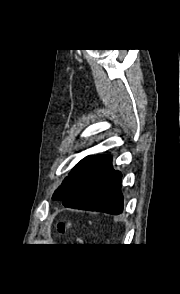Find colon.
<instances>
[{
  "mask_svg": "<svg viewBox=\"0 0 180 294\" xmlns=\"http://www.w3.org/2000/svg\"><path fill=\"white\" fill-rule=\"evenodd\" d=\"M72 224L70 222H61L58 225L59 231L63 232L65 229L70 228Z\"/></svg>",
  "mask_w": 180,
  "mask_h": 294,
  "instance_id": "obj_1",
  "label": "colon"
}]
</instances>
